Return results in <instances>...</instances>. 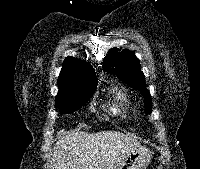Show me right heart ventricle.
Listing matches in <instances>:
<instances>
[{"mask_svg": "<svg viewBox=\"0 0 200 169\" xmlns=\"http://www.w3.org/2000/svg\"><path fill=\"white\" fill-rule=\"evenodd\" d=\"M128 108V99L126 94L119 89L112 91V99L107 105L109 113L115 116L125 117Z\"/></svg>", "mask_w": 200, "mask_h": 169, "instance_id": "right-heart-ventricle-1", "label": "right heart ventricle"}]
</instances>
